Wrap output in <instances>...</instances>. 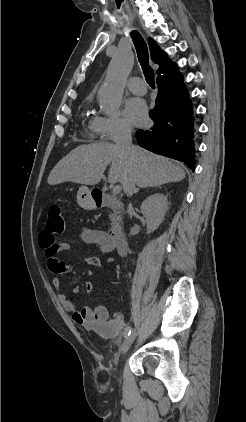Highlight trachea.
Returning <instances> with one entry per match:
<instances>
[{
    "label": "trachea",
    "mask_w": 246,
    "mask_h": 422,
    "mask_svg": "<svg viewBox=\"0 0 246 422\" xmlns=\"http://www.w3.org/2000/svg\"><path fill=\"white\" fill-rule=\"evenodd\" d=\"M130 35L136 48L138 60L142 66L145 79L152 88H155L154 72L148 63L149 56L146 42L144 41L143 37L136 31H132Z\"/></svg>",
    "instance_id": "1"
}]
</instances>
